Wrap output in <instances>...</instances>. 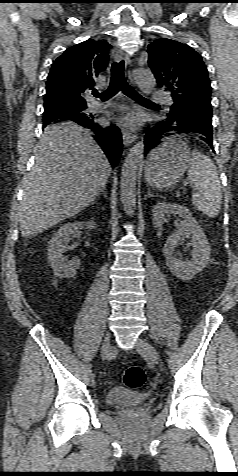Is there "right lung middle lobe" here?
Here are the masks:
<instances>
[{
  "label": "right lung middle lobe",
  "mask_w": 238,
  "mask_h": 476,
  "mask_svg": "<svg viewBox=\"0 0 238 476\" xmlns=\"http://www.w3.org/2000/svg\"><path fill=\"white\" fill-rule=\"evenodd\" d=\"M86 105H73L61 103H45L43 122L49 124L63 120L77 121L92 118L93 115L87 113Z\"/></svg>",
  "instance_id": "right-lung-middle-lobe-1"
}]
</instances>
